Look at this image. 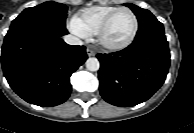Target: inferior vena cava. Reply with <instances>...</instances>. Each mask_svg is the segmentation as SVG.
<instances>
[{
  "mask_svg": "<svg viewBox=\"0 0 194 133\" xmlns=\"http://www.w3.org/2000/svg\"><path fill=\"white\" fill-rule=\"evenodd\" d=\"M64 41L69 45H81L83 42L73 35H66L64 36Z\"/></svg>",
  "mask_w": 194,
  "mask_h": 133,
  "instance_id": "602c4592",
  "label": "inferior vena cava"
}]
</instances>
